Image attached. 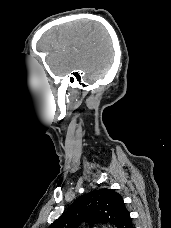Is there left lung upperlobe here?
Here are the masks:
<instances>
[{
  "mask_svg": "<svg viewBox=\"0 0 171 228\" xmlns=\"http://www.w3.org/2000/svg\"><path fill=\"white\" fill-rule=\"evenodd\" d=\"M129 220L130 214L120 194L112 189H99L77 199L49 228H78L84 221L90 226L109 222L117 228H125Z\"/></svg>",
  "mask_w": 171,
  "mask_h": 228,
  "instance_id": "obj_1",
  "label": "left lung upper lobe"
}]
</instances>
